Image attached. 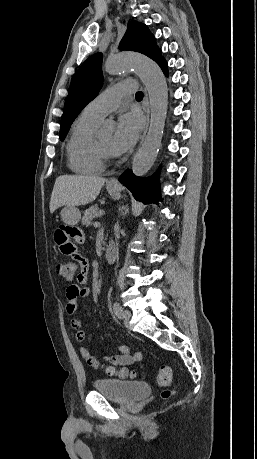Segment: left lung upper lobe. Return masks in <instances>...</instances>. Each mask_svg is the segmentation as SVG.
Returning <instances> with one entry per match:
<instances>
[{
    "label": "left lung upper lobe",
    "mask_w": 257,
    "mask_h": 459,
    "mask_svg": "<svg viewBox=\"0 0 257 459\" xmlns=\"http://www.w3.org/2000/svg\"><path fill=\"white\" fill-rule=\"evenodd\" d=\"M119 49L140 52L156 63L163 59L154 36L146 25L137 21L129 22L126 33L119 44ZM101 63L102 55L96 53L82 64L73 77L61 118L60 140H64L77 115L97 96L102 87Z\"/></svg>",
    "instance_id": "1"
}]
</instances>
